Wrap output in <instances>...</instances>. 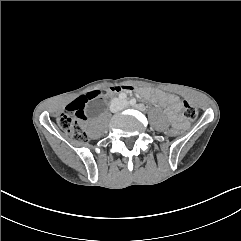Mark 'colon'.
<instances>
[{"label": "colon", "mask_w": 241, "mask_h": 241, "mask_svg": "<svg viewBox=\"0 0 241 241\" xmlns=\"http://www.w3.org/2000/svg\"><path fill=\"white\" fill-rule=\"evenodd\" d=\"M123 87H110L102 90H95L87 93L78 100L70 103L66 110L58 116L57 122L59 128L72 136L77 141H86L87 135L85 132L86 116L84 113V105L90 100H94L109 93L118 91ZM126 89L131 90V87L126 86ZM182 115L187 120H194L197 118L198 111L188 101H182ZM181 128H169L167 135L169 137L180 138L182 136Z\"/></svg>", "instance_id": "1"}]
</instances>
